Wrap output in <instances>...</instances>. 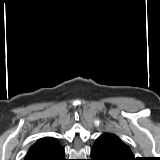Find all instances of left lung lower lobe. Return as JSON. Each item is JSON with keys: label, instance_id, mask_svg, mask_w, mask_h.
Returning a JSON list of instances; mask_svg holds the SVG:
<instances>
[{"label": "left lung lower lobe", "instance_id": "left-lung-lower-lobe-1", "mask_svg": "<svg viewBox=\"0 0 160 160\" xmlns=\"http://www.w3.org/2000/svg\"><path fill=\"white\" fill-rule=\"evenodd\" d=\"M91 160H137L111 134L99 136L91 149Z\"/></svg>", "mask_w": 160, "mask_h": 160}]
</instances>
